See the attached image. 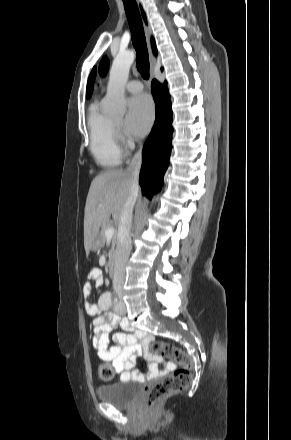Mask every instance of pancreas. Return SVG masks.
Instances as JSON below:
<instances>
[{
  "mask_svg": "<svg viewBox=\"0 0 291 440\" xmlns=\"http://www.w3.org/2000/svg\"><path fill=\"white\" fill-rule=\"evenodd\" d=\"M109 227H111V222L110 221L107 220V221L102 223L100 234H99L100 243H104L105 242V240H106L105 231ZM115 244H116V235H113V237H112V251L114 250Z\"/></svg>",
  "mask_w": 291,
  "mask_h": 440,
  "instance_id": "obj_1",
  "label": "pancreas"
}]
</instances>
